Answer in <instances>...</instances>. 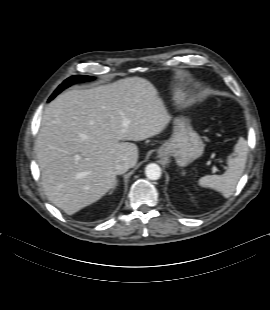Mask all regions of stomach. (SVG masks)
I'll list each match as a JSON object with an SVG mask.
<instances>
[{"mask_svg": "<svg viewBox=\"0 0 270 310\" xmlns=\"http://www.w3.org/2000/svg\"><path fill=\"white\" fill-rule=\"evenodd\" d=\"M173 128L172 136L158 149V156H172L179 166L184 167L203 154L205 145L188 118H175Z\"/></svg>", "mask_w": 270, "mask_h": 310, "instance_id": "stomach-1", "label": "stomach"}]
</instances>
